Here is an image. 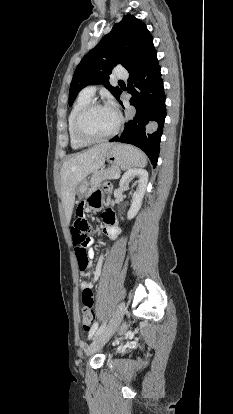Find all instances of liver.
Instances as JSON below:
<instances>
[{
    "mask_svg": "<svg viewBox=\"0 0 233 414\" xmlns=\"http://www.w3.org/2000/svg\"><path fill=\"white\" fill-rule=\"evenodd\" d=\"M111 143H101L82 153H77L64 162L61 169V193L65 216L69 221L72 216L76 188L89 174L101 168Z\"/></svg>",
    "mask_w": 233,
    "mask_h": 414,
    "instance_id": "1",
    "label": "liver"
}]
</instances>
